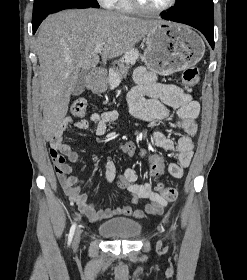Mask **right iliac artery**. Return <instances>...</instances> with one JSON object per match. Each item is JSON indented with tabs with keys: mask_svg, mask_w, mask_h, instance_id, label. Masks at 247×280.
I'll use <instances>...</instances> for the list:
<instances>
[{
	"mask_svg": "<svg viewBox=\"0 0 247 280\" xmlns=\"http://www.w3.org/2000/svg\"><path fill=\"white\" fill-rule=\"evenodd\" d=\"M75 228H76V223H74L70 229L69 235H68V245H70L74 232H75Z\"/></svg>",
	"mask_w": 247,
	"mask_h": 280,
	"instance_id": "1",
	"label": "right iliac artery"
}]
</instances>
